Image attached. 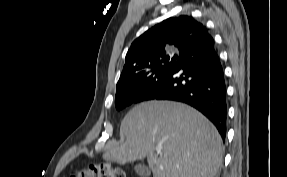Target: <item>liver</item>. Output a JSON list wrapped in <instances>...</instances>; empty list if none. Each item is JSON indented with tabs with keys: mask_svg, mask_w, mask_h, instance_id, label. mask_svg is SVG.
Wrapping results in <instances>:
<instances>
[{
	"mask_svg": "<svg viewBox=\"0 0 287 177\" xmlns=\"http://www.w3.org/2000/svg\"><path fill=\"white\" fill-rule=\"evenodd\" d=\"M120 133L124 142L111 145L104 160L124 165L147 157L153 177H214L222 163V139L215 126L182 103L136 105L122 120Z\"/></svg>",
	"mask_w": 287,
	"mask_h": 177,
	"instance_id": "1",
	"label": "liver"
}]
</instances>
